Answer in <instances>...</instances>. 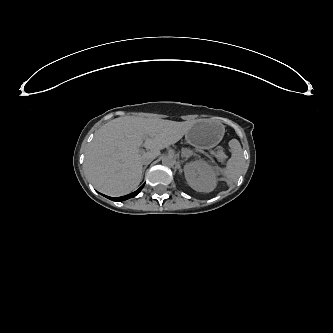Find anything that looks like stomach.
<instances>
[{
	"mask_svg": "<svg viewBox=\"0 0 333 333\" xmlns=\"http://www.w3.org/2000/svg\"><path fill=\"white\" fill-rule=\"evenodd\" d=\"M187 141H188V143L191 144V145H195V144H197V142H196L191 136H188V137H187Z\"/></svg>",
	"mask_w": 333,
	"mask_h": 333,
	"instance_id": "0dacf381",
	"label": "stomach"
}]
</instances>
